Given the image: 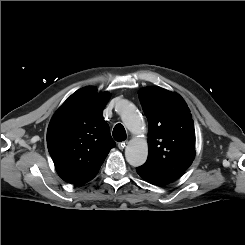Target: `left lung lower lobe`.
I'll return each mask as SVG.
<instances>
[{"mask_svg":"<svg viewBox=\"0 0 245 245\" xmlns=\"http://www.w3.org/2000/svg\"><path fill=\"white\" fill-rule=\"evenodd\" d=\"M136 171L138 173V175L145 181L153 184V185H157V186H166L172 182H174V179H170L164 176H160L157 174H153L150 173L146 170H143L139 167L136 168Z\"/></svg>","mask_w":245,"mask_h":245,"instance_id":"left-lung-lower-lobe-1","label":"left lung lower lobe"}]
</instances>
